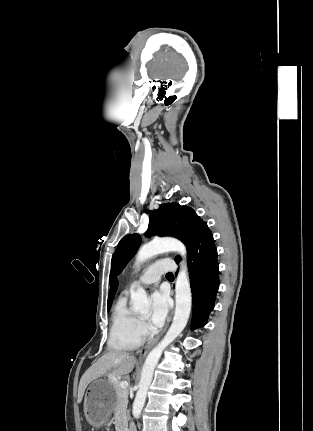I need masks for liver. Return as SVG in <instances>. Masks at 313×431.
Wrapping results in <instances>:
<instances>
[{
	"instance_id": "6515ba94",
	"label": "liver",
	"mask_w": 313,
	"mask_h": 431,
	"mask_svg": "<svg viewBox=\"0 0 313 431\" xmlns=\"http://www.w3.org/2000/svg\"><path fill=\"white\" fill-rule=\"evenodd\" d=\"M135 363V357L127 352L109 351L104 354L83 374L78 387L77 402L82 401L85 389L92 381L105 374L113 380L127 375L133 370Z\"/></svg>"
}]
</instances>
